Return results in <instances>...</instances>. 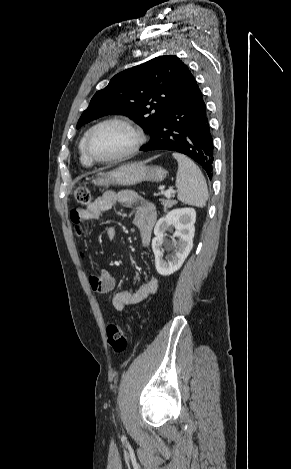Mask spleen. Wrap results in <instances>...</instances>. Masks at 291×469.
Returning <instances> with one entry per match:
<instances>
[{
	"label": "spleen",
	"instance_id": "1",
	"mask_svg": "<svg viewBox=\"0 0 291 469\" xmlns=\"http://www.w3.org/2000/svg\"><path fill=\"white\" fill-rule=\"evenodd\" d=\"M178 162L176 187L178 199L189 205L203 208L208 200L206 180L199 167L187 156L173 153Z\"/></svg>",
	"mask_w": 291,
	"mask_h": 469
}]
</instances>
